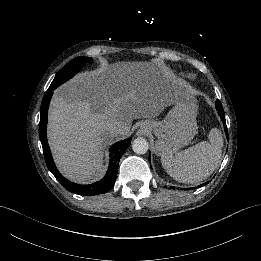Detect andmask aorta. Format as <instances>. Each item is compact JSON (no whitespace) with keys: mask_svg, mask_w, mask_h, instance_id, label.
I'll list each match as a JSON object with an SVG mask.
<instances>
[{"mask_svg":"<svg viewBox=\"0 0 261 261\" xmlns=\"http://www.w3.org/2000/svg\"><path fill=\"white\" fill-rule=\"evenodd\" d=\"M134 153L138 155L146 154L149 150V144L144 138H136L132 143Z\"/></svg>","mask_w":261,"mask_h":261,"instance_id":"762f6f07","label":"aorta"}]
</instances>
